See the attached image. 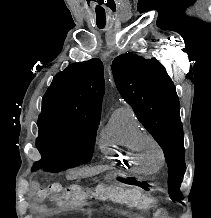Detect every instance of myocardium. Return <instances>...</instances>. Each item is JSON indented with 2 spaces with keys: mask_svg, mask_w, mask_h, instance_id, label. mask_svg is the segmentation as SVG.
Here are the masks:
<instances>
[{
  "mask_svg": "<svg viewBox=\"0 0 211 218\" xmlns=\"http://www.w3.org/2000/svg\"><path fill=\"white\" fill-rule=\"evenodd\" d=\"M146 143H152L157 149V153H158L157 167L161 166L164 162V152H163L162 146L153 135L147 134V133L142 134L139 139V153L138 154L140 156L141 163H147L144 160L143 153H142V149Z\"/></svg>",
  "mask_w": 211,
  "mask_h": 218,
  "instance_id": "f54148a6",
  "label": "myocardium"
}]
</instances>
